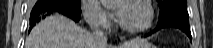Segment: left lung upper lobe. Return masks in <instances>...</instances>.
<instances>
[{
  "mask_svg": "<svg viewBox=\"0 0 213 48\" xmlns=\"http://www.w3.org/2000/svg\"><path fill=\"white\" fill-rule=\"evenodd\" d=\"M160 7L159 19L168 15H179L189 17L187 11V0H157Z\"/></svg>",
  "mask_w": 213,
  "mask_h": 48,
  "instance_id": "left-lung-upper-lobe-1",
  "label": "left lung upper lobe"
}]
</instances>
